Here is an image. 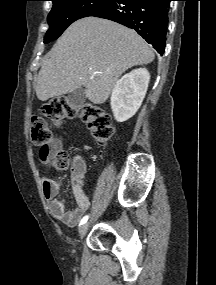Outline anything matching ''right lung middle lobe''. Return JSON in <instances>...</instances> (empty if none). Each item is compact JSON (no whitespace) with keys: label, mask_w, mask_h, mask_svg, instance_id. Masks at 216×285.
<instances>
[{"label":"right lung middle lobe","mask_w":216,"mask_h":285,"mask_svg":"<svg viewBox=\"0 0 216 285\" xmlns=\"http://www.w3.org/2000/svg\"><path fill=\"white\" fill-rule=\"evenodd\" d=\"M52 10L48 15L49 29L44 43L57 39L74 21L88 16L112 0H51Z\"/></svg>","instance_id":"1"}]
</instances>
